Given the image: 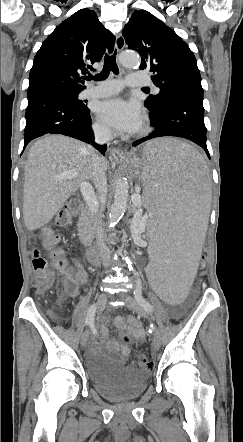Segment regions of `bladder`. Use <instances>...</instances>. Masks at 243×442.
<instances>
[{
  "label": "bladder",
  "mask_w": 243,
  "mask_h": 442,
  "mask_svg": "<svg viewBox=\"0 0 243 442\" xmlns=\"http://www.w3.org/2000/svg\"><path fill=\"white\" fill-rule=\"evenodd\" d=\"M86 372L97 393L115 402L138 398L145 391L149 378L141 368L128 366L106 353L91 354Z\"/></svg>",
  "instance_id": "bladder-1"
}]
</instances>
